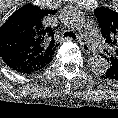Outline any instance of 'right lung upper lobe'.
Listing matches in <instances>:
<instances>
[{
  "label": "right lung upper lobe",
  "instance_id": "right-lung-upper-lobe-1",
  "mask_svg": "<svg viewBox=\"0 0 118 118\" xmlns=\"http://www.w3.org/2000/svg\"><path fill=\"white\" fill-rule=\"evenodd\" d=\"M56 10L28 4L15 11L0 27V56L11 69L30 74L46 67L55 48L54 33L43 18Z\"/></svg>",
  "mask_w": 118,
  "mask_h": 118
}]
</instances>
